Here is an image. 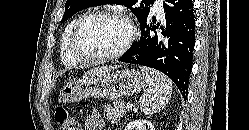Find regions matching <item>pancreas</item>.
<instances>
[{"label": "pancreas", "mask_w": 249, "mask_h": 130, "mask_svg": "<svg viewBox=\"0 0 249 130\" xmlns=\"http://www.w3.org/2000/svg\"><path fill=\"white\" fill-rule=\"evenodd\" d=\"M104 112L107 113V120L111 123H116L126 114L127 110L123 100H115L112 104L104 106Z\"/></svg>", "instance_id": "1"}]
</instances>
